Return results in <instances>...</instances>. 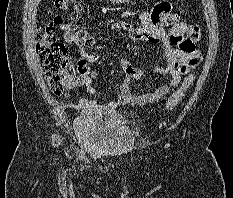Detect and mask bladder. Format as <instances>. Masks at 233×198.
<instances>
[{"label": "bladder", "mask_w": 233, "mask_h": 198, "mask_svg": "<svg viewBox=\"0 0 233 198\" xmlns=\"http://www.w3.org/2000/svg\"><path fill=\"white\" fill-rule=\"evenodd\" d=\"M79 145L90 151H118L132 145L134 135L117 112L84 111L75 121Z\"/></svg>", "instance_id": "obj_1"}]
</instances>
